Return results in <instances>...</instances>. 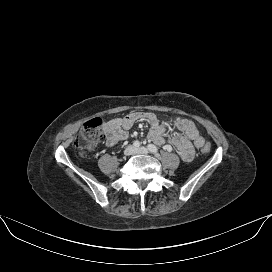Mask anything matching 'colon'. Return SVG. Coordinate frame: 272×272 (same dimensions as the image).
Returning <instances> with one entry per match:
<instances>
[{"label": "colon", "instance_id": "colon-1", "mask_svg": "<svg viewBox=\"0 0 272 272\" xmlns=\"http://www.w3.org/2000/svg\"><path fill=\"white\" fill-rule=\"evenodd\" d=\"M101 124L102 121L99 118L87 121L75 138L74 144L76 147L82 151L102 142L104 133ZM201 150L203 153H209L211 150L210 144L206 143Z\"/></svg>", "mask_w": 272, "mask_h": 272}]
</instances>
